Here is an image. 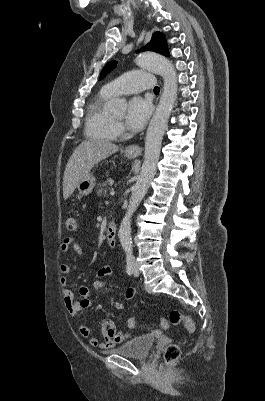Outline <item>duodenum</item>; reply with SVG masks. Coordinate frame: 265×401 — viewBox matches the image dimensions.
I'll list each match as a JSON object with an SVG mask.
<instances>
[{"label": "duodenum", "mask_w": 265, "mask_h": 401, "mask_svg": "<svg viewBox=\"0 0 265 401\" xmlns=\"http://www.w3.org/2000/svg\"><path fill=\"white\" fill-rule=\"evenodd\" d=\"M106 240L110 247H115L117 242V227L116 224L111 221L108 224L106 231Z\"/></svg>", "instance_id": "duodenum-1"}]
</instances>
